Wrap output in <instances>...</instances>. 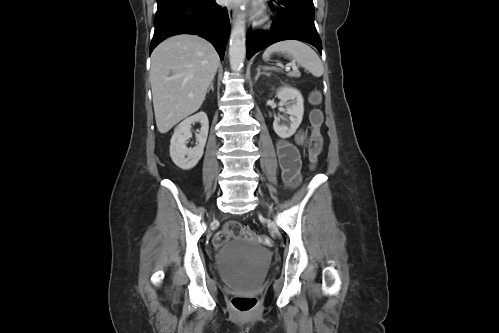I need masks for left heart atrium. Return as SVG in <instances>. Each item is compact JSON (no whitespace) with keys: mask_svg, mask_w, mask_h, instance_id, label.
<instances>
[{"mask_svg":"<svg viewBox=\"0 0 499 333\" xmlns=\"http://www.w3.org/2000/svg\"><path fill=\"white\" fill-rule=\"evenodd\" d=\"M226 3L237 1V0H224Z\"/></svg>","mask_w":499,"mask_h":333,"instance_id":"39dd6f15","label":"left heart atrium"}]
</instances>
